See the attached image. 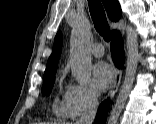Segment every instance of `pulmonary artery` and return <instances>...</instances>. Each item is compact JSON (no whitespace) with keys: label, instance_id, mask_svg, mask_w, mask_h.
<instances>
[{"label":"pulmonary artery","instance_id":"e3ab8cb5","mask_svg":"<svg viewBox=\"0 0 156 124\" xmlns=\"http://www.w3.org/2000/svg\"><path fill=\"white\" fill-rule=\"evenodd\" d=\"M91 53L96 57H101L104 54V48L100 43H94L90 48Z\"/></svg>","mask_w":156,"mask_h":124}]
</instances>
